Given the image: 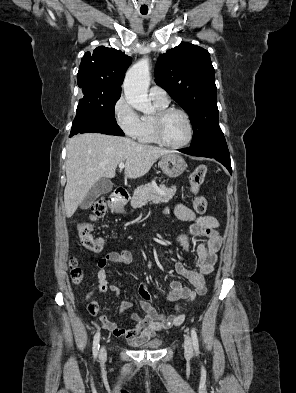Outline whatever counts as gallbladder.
I'll return each mask as SVG.
<instances>
[{
	"label": "gallbladder",
	"instance_id": "bac80fb5",
	"mask_svg": "<svg viewBox=\"0 0 296 393\" xmlns=\"http://www.w3.org/2000/svg\"><path fill=\"white\" fill-rule=\"evenodd\" d=\"M113 189V183L107 178H101L88 192L82 203L81 209L89 208L101 195L109 193Z\"/></svg>",
	"mask_w": 296,
	"mask_h": 393
}]
</instances>
